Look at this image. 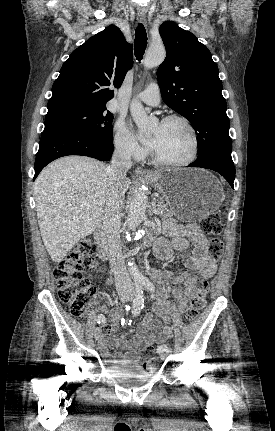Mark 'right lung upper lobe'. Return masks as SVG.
Instances as JSON below:
<instances>
[{"instance_id":"cb5924a9","label":"right lung upper lobe","mask_w":275,"mask_h":431,"mask_svg":"<svg viewBox=\"0 0 275 431\" xmlns=\"http://www.w3.org/2000/svg\"><path fill=\"white\" fill-rule=\"evenodd\" d=\"M132 67V45L114 25L75 49L61 67L52 87L48 112L106 105Z\"/></svg>"}]
</instances>
